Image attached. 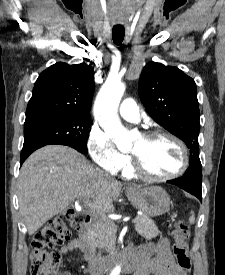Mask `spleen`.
Segmentation results:
<instances>
[{"label": "spleen", "mask_w": 225, "mask_h": 275, "mask_svg": "<svg viewBox=\"0 0 225 275\" xmlns=\"http://www.w3.org/2000/svg\"><path fill=\"white\" fill-rule=\"evenodd\" d=\"M194 221H195V215H194V212L192 211L191 216L189 218V222L192 224V223H194Z\"/></svg>", "instance_id": "spleen-1"}]
</instances>
